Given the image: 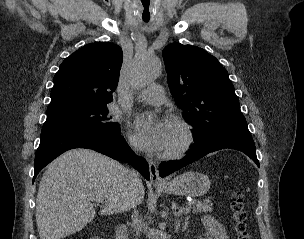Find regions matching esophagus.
I'll return each mask as SVG.
<instances>
[{"instance_id": "1", "label": "esophagus", "mask_w": 304, "mask_h": 239, "mask_svg": "<svg viewBox=\"0 0 304 239\" xmlns=\"http://www.w3.org/2000/svg\"><path fill=\"white\" fill-rule=\"evenodd\" d=\"M148 164H149L150 181H151V183H153V184H162V183H164V181L159 176L157 165L153 161H151V160L148 161Z\"/></svg>"}]
</instances>
